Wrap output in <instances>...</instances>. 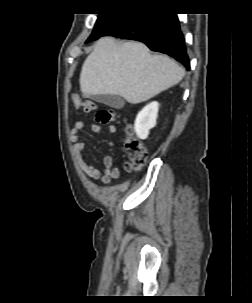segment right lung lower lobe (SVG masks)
Returning a JSON list of instances; mask_svg holds the SVG:
<instances>
[{
  "instance_id": "1",
  "label": "right lung lower lobe",
  "mask_w": 252,
  "mask_h": 303,
  "mask_svg": "<svg viewBox=\"0 0 252 303\" xmlns=\"http://www.w3.org/2000/svg\"><path fill=\"white\" fill-rule=\"evenodd\" d=\"M145 43L151 50L172 56L190 69L183 34L175 14L126 12L102 35Z\"/></svg>"
}]
</instances>
